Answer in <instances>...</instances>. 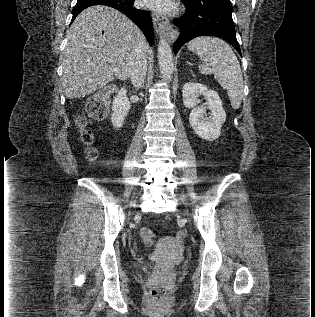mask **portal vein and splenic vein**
<instances>
[{"label":"portal vein and splenic vein","mask_w":315,"mask_h":317,"mask_svg":"<svg viewBox=\"0 0 315 317\" xmlns=\"http://www.w3.org/2000/svg\"><path fill=\"white\" fill-rule=\"evenodd\" d=\"M111 70L115 73L118 74L119 73V69L116 67L111 68Z\"/></svg>","instance_id":"obj_1"}]
</instances>
